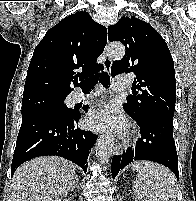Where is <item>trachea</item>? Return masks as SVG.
Returning a JSON list of instances; mask_svg holds the SVG:
<instances>
[{
	"label": "trachea",
	"mask_w": 196,
	"mask_h": 201,
	"mask_svg": "<svg viewBox=\"0 0 196 201\" xmlns=\"http://www.w3.org/2000/svg\"><path fill=\"white\" fill-rule=\"evenodd\" d=\"M98 81L105 87L108 88L110 84V77L106 72H102L99 75H94L81 82L79 85L82 90H91L98 83Z\"/></svg>",
	"instance_id": "trachea-1"
}]
</instances>
